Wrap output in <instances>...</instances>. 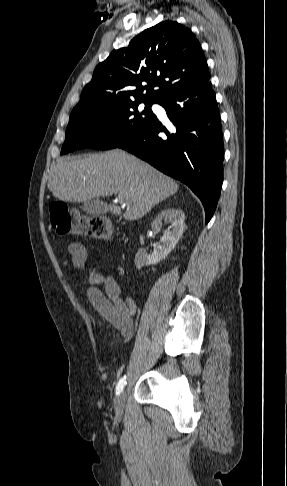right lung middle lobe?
Listing matches in <instances>:
<instances>
[{"label":"right lung middle lobe","instance_id":"right-lung-middle-lobe-1","mask_svg":"<svg viewBox=\"0 0 287 486\" xmlns=\"http://www.w3.org/2000/svg\"><path fill=\"white\" fill-rule=\"evenodd\" d=\"M144 103L143 111L138 110ZM155 101L128 99L103 102L71 112L61 154L79 148L112 149L127 141L154 116Z\"/></svg>","mask_w":287,"mask_h":486}]
</instances>
